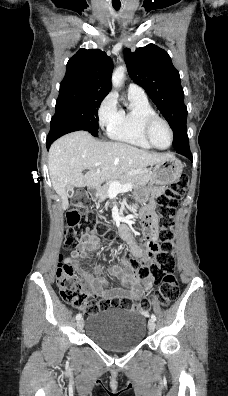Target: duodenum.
Wrapping results in <instances>:
<instances>
[{"label":"duodenum","instance_id":"410a0bca","mask_svg":"<svg viewBox=\"0 0 228 396\" xmlns=\"http://www.w3.org/2000/svg\"><path fill=\"white\" fill-rule=\"evenodd\" d=\"M91 194H92L94 197H97V192H96V191H92Z\"/></svg>","mask_w":228,"mask_h":396}]
</instances>
